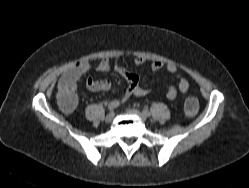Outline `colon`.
Listing matches in <instances>:
<instances>
[{"instance_id":"colon-1","label":"colon","mask_w":249,"mask_h":188,"mask_svg":"<svg viewBox=\"0 0 249 188\" xmlns=\"http://www.w3.org/2000/svg\"><path fill=\"white\" fill-rule=\"evenodd\" d=\"M60 105L67 111H72L76 106V98L71 92L58 93ZM198 100L193 96H188L184 100L183 111L186 117H193L198 112Z\"/></svg>"}]
</instances>
